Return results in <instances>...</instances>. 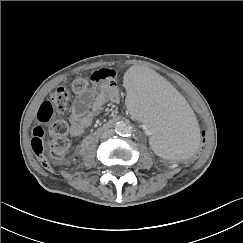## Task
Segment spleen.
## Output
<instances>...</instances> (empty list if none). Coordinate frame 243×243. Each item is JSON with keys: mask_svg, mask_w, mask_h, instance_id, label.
Listing matches in <instances>:
<instances>
[{"mask_svg": "<svg viewBox=\"0 0 243 243\" xmlns=\"http://www.w3.org/2000/svg\"><path fill=\"white\" fill-rule=\"evenodd\" d=\"M125 94L132 115L143 123L154 152L174 160L192 153L200 133L185 98L157 71L133 74Z\"/></svg>", "mask_w": 243, "mask_h": 243, "instance_id": "3e777b00", "label": "spleen"}]
</instances>
